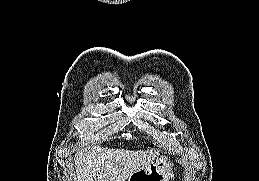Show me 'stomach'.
I'll return each instance as SVG.
<instances>
[{
	"label": "stomach",
	"mask_w": 259,
	"mask_h": 181,
	"mask_svg": "<svg viewBox=\"0 0 259 181\" xmlns=\"http://www.w3.org/2000/svg\"><path fill=\"white\" fill-rule=\"evenodd\" d=\"M171 171V164L165 158L156 159L134 172L128 181H169Z\"/></svg>",
	"instance_id": "obj_1"
}]
</instances>
